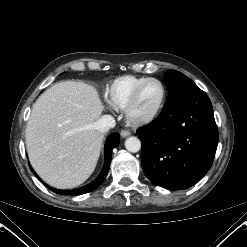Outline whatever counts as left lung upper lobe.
Listing matches in <instances>:
<instances>
[{"instance_id":"left-lung-upper-lobe-1","label":"left lung upper lobe","mask_w":247,"mask_h":247,"mask_svg":"<svg viewBox=\"0 0 247 247\" xmlns=\"http://www.w3.org/2000/svg\"><path fill=\"white\" fill-rule=\"evenodd\" d=\"M164 76L169 90V98L178 93L198 88V86L191 79L178 71L169 70L164 74Z\"/></svg>"}]
</instances>
